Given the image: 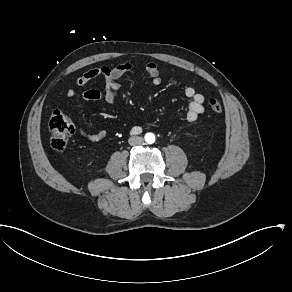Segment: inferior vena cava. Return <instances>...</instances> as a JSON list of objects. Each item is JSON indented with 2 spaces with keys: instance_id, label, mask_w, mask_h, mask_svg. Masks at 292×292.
Wrapping results in <instances>:
<instances>
[{
  "instance_id": "602c4592",
  "label": "inferior vena cava",
  "mask_w": 292,
  "mask_h": 292,
  "mask_svg": "<svg viewBox=\"0 0 292 292\" xmlns=\"http://www.w3.org/2000/svg\"><path fill=\"white\" fill-rule=\"evenodd\" d=\"M128 143L132 146L142 145L144 143V139L142 137L133 136L129 138Z\"/></svg>"
}]
</instances>
